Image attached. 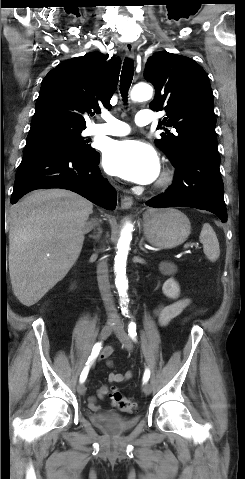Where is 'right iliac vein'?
I'll return each instance as SVG.
<instances>
[{"label": "right iliac vein", "mask_w": 245, "mask_h": 479, "mask_svg": "<svg viewBox=\"0 0 245 479\" xmlns=\"http://www.w3.org/2000/svg\"><path fill=\"white\" fill-rule=\"evenodd\" d=\"M113 329H114V325L111 324V323H108L105 326H103V328L100 332V339L105 340L111 334ZM77 391L80 395H84L85 392H86L85 385L82 384V383L78 384Z\"/></svg>", "instance_id": "right-iliac-vein-1"}]
</instances>
